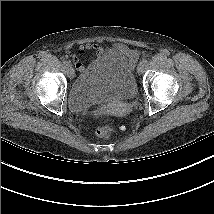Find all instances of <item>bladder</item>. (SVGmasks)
I'll return each instance as SVG.
<instances>
[{"instance_id": "31cf9c89", "label": "bladder", "mask_w": 214, "mask_h": 214, "mask_svg": "<svg viewBox=\"0 0 214 214\" xmlns=\"http://www.w3.org/2000/svg\"><path fill=\"white\" fill-rule=\"evenodd\" d=\"M136 93L130 63L119 54L106 53L75 79L68 92V103L73 111L81 112L91 105L130 101Z\"/></svg>"}]
</instances>
